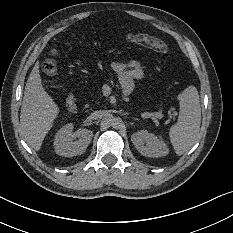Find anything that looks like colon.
<instances>
[{
  "instance_id": "5ec220e1",
  "label": "colon",
  "mask_w": 233,
  "mask_h": 233,
  "mask_svg": "<svg viewBox=\"0 0 233 233\" xmlns=\"http://www.w3.org/2000/svg\"><path fill=\"white\" fill-rule=\"evenodd\" d=\"M140 40L143 43L148 44L150 47L154 48L155 50L159 51V52H166L167 51V46L160 40L155 39V38H150L146 35H141L139 36ZM52 54L56 55L57 54V50H52ZM42 69L44 71V73H47L52 79L50 80V83L53 84L54 83V78L56 75V63L54 60L50 59V60H46L43 64H42Z\"/></svg>"
}]
</instances>
